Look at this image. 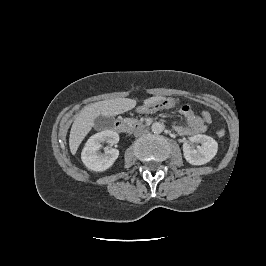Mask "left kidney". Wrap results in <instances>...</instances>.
Instances as JSON below:
<instances>
[{
    "mask_svg": "<svg viewBox=\"0 0 266 266\" xmlns=\"http://www.w3.org/2000/svg\"><path fill=\"white\" fill-rule=\"evenodd\" d=\"M192 143H201L196 149ZM218 143L207 135H194L183 144V153L186 161L192 165H203L208 163L216 155Z\"/></svg>",
    "mask_w": 266,
    "mask_h": 266,
    "instance_id": "left-kidney-1",
    "label": "left kidney"
}]
</instances>
